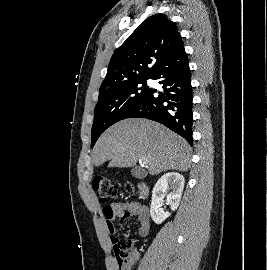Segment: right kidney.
Returning a JSON list of instances; mask_svg holds the SVG:
<instances>
[{
	"label": "right kidney",
	"mask_w": 267,
	"mask_h": 270,
	"mask_svg": "<svg viewBox=\"0 0 267 270\" xmlns=\"http://www.w3.org/2000/svg\"><path fill=\"white\" fill-rule=\"evenodd\" d=\"M184 183L185 179L183 175L177 172L166 173L157 181L152 191L150 205V216L156 224H161L170 216L169 212H164L161 209L166 192L170 191L166 198L171 210L174 211L179 206Z\"/></svg>",
	"instance_id": "right-kidney-1"
}]
</instances>
